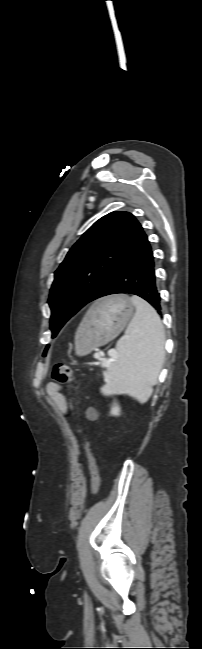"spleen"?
<instances>
[{
  "label": "spleen",
  "instance_id": "obj_1",
  "mask_svg": "<svg viewBox=\"0 0 202 649\" xmlns=\"http://www.w3.org/2000/svg\"><path fill=\"white\" fill-rule=\"evenodd\" d=\"M136 313L117 342V359L105 373V395L126 393L145 403L157 383L164 358L165 330L155 309L136 295Z\"/></svg>",
  "mask_w": 202,
  "mask_h": 649
}]
</instances>
